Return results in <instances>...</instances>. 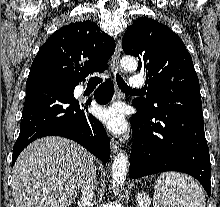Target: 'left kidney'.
<instances>
[{
    "mask_svg": "<svg viewBox=\"0 0 220 207\" xmlns=\"http://www.w3.org/2000/svg\"><path fill=\"white\" fill-rule=\"evenodd\" d=\"M137 207H150L151 199L146 193H138L136 196Z\"/></svg>",
    "mask_w": 220,
    "mask_h": 207,
    "instance_id": "obj_1",
    "label": "left kidney"
}]
</instances>
